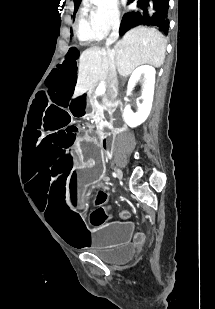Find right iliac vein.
Instances as JSON below:
<instances>
[{
	"label": "right iliac vein",
	"mask_w": 215,
	"mask_h": 309,
	"mask_svg": "<svg viewBox=\"0 0 215 309\" xmlns=\"http://www.w3.org/2000/svg\"><path fill=\"white\" fill-rule=\"evenodd\" d=\"M116 173H117V177H118L119 179H122V172H121V170H120V169H117V170H116Z\"/></svg>",
	"instance_id": "63e3f726"
}]
</instances>
